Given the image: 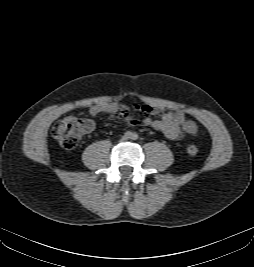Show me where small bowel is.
Returning a JSON list of instances; mask_svg holds the SVG:
<instances>
[{
  "instance_id": "obj_1",
  "label": "small bowel",
  "mask_w": 254,
  "mask_h": 267,
  "mask_svg": "<svg viewBox=\"0 0 254 267\" xmlns=\"http://www.w3.org/2000/svg\"><path fill=\"white\" fill-rule=\"evenodd\" d=\"M136 110L144 114L141 121L134 119L128 106L117 102H101L89 109L91 116L99 114H118L127 124L136 126L141 124L162 132L170 140H178L184 134H195L198 130L194 121L188 120L182 111L161 112L157 107L150 105H136Z\"/></svg>"
}]
</instances>
